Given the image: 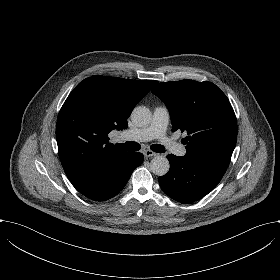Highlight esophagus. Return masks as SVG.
I'll return each instance as SVG.
<instances>
[{"mask_svg": "<svg viewBox=\"0 0 280 280\" xmlns=\"http://www.w3.org/2000/svg\"><path fill=\"white\" fill-rule=\"evenodd\" d=\"M143 154H144V156H145L146 158H148V157H153V156H156V155H157L155 152H153V151H151V150H145V151L143 152Z\"/></svg>", "mask_w": 280, "mask_h": 280, "instance_id": "esophagus-1", "label": "esophagus"}]
</instances>
